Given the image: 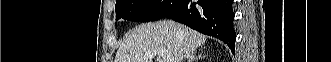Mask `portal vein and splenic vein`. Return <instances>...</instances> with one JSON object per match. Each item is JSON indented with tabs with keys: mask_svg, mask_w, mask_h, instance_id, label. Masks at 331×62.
Wrapping results in <instances>:
<instances>
[{
	"mask_svg": "<svg viewBox=\"0 0 331 62\" xmlns=\"http://www.w3.org/2000/svg\"><path fill=\"white\" fill-rule=\"evenodd\" d=\"M155 55L161 56L163 59V62H174V57L172 56V54H170V52L164 48H157V49L148 51L140 59L146 60Z\"/></svg>",
	"mask_w": 331,
	"mask_h": 62,
	"instance_id": "1",
	"label": "portal vein and splenic vein"
}]
</instances>
